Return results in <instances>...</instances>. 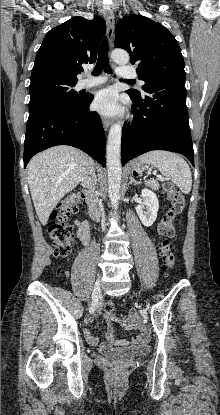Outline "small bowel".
I'll list each match as a JSON object with an SVG mask.
<instances>
[{
  "instance_id": "c3829d8e",
  "label": "small bowel",
  "mask_w": 220,
  "mask_h": 415,
  "mask_svg": "<svg viewBox=\"0 0 220 415\" xmlns=\"http://www.w3.org/2000/svg\"><path fill=\"white\" fill-rule=\"evenodd\" d=\"M76 225H77V236L80 239V241L84 244V245H88L90 240H91V235H90V229H91V224L89 221L87 220H77L76 221ZM97 315H100V313H97ZM94 319L90 318L87 321V325L84 327L83 329V334L87 340V342L94 347H99L100 350L102 352H105L107 350L110 349V347L112 345H118V346H128V345H136L138 346L139 344L142 343V337H137L131 341L128 340H115L112 334V327H109V337L105 342H99V340L94 336V334L92 333V331L89 328V324L93 323Z\"/></svg>"
}]
</instances>
